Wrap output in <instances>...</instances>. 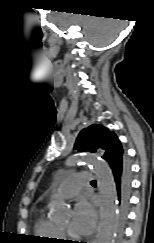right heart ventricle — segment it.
<instances>
[{"label":"right heart ventricle","mask_w":154,"mask_h":243,"mask_svg":"<svg viewBox=\"0 0 154 243\" xmlns=\"http://www.w3.org/2000/svg\"><path fill=\"white\" fill-rule=\"evenodd\" d=\"M35 232L38 236L49 240H58L62 237L59 226L47 218L43 211L39 213L36 220Z\"/></svg>","instance_id":"1"}]
</instances>
